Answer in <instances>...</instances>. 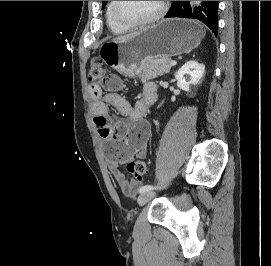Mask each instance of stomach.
Here are the masks:
<instances>
[{
    "label": "stomach",
    "instance_id": "stomach-1",
    "mask_svg": "<svg viewBox=\"0 0 271 266\" xmlns=\"http://www.w3.org/2000/svg\"><path fill=\"white\" fill-rule=\"evenodd\" d=\"M204 35L205 31L198 22L167 19L146 27L129 39L104 43L99 55L111 68L133 77L142 73L145 60L187 53L200 44Z\"/></svg>",
    "mask_w": 271,
    "mask_h": 266
}]
</instances>
